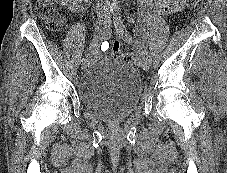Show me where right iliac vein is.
I'll use <instances>...</instances> for the list:
<instances>
[{"label":"right iliac vein","instance_id":"right-iliac-vein-1","mask_svg":"<svg viewBox=\"0 0 227 173\" xmlns=\"http://www.w3.org/2000/svg\"><path fill=\"white\" fill-rule=\"evenodd\" d=\"M110 20L109 15L105 12H98L97 13V23L99 27H104L106 23ZM89 61L88 59H84L81 61L82 69H86L88 67Z\"/></svg>","mask_w":227,"mask_h":173}]
</instances>
